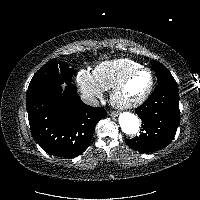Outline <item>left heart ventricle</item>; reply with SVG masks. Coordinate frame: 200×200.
I'll return each mask as SVG.
<instances>
[{
	"instance_id": "b2bd125f",
	"label": "left heart ventricle",
	"mask_w": 200,
	"mask_h": 200,
	"mask_svg": "<svg viewBox=\"0 0 200 200\" xmlns=\"http://www.w3.org/2000/svg\"><path fill=\"white\" fill-rule=\"evenodd\" d=\"M150 83L148 72L142 71L134 75L121 90L119 97L124 101H133L140 98Z\"/></svg>"
}]
</instances>
